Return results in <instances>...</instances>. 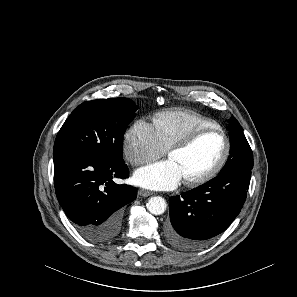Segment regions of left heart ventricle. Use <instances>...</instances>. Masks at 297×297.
Segmentation results:
<instances>
[{
	"instance_id": "obj_1",
	"label": "left heart ventricle",
	"mask_w": 297,
	"mask_h": 297,
	"mask_svg": "<svg viewBox=\"0 0 297 297\" xmlns=\"http://www.w3.org/2000/svg\"><path fill=\"white\" fill-rule=\"evenodd\" d=\"M224 150L222 138L209 133L198 138L190 147L172 153L169 158L182 169L184 179L195 178L210 170Z\"/></svg>"
}]
</instances>
